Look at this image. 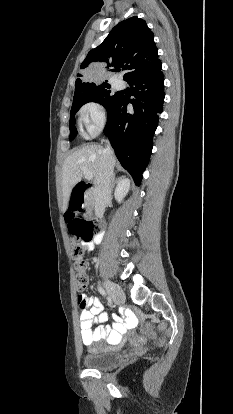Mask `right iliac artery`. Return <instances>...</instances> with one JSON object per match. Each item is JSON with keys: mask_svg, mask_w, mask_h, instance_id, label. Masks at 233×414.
<instances>
[{"mask_svg": "<svg viewBox=\"0 0 233 414\" xmlns=\"http://www.w3.org/2000/svg\"><path fill=\"white\" fill-rule=\"evenodd\" d=\"M98 291L104 297L107 295L106 292H105V290L101 286H98ZM109 301H111V300L109 299Z\"/></svg>", "mask_w": 233, "mask_h": 414, "instance_id": "obj_1", "label": "right iliac artery"}]
</instances>
